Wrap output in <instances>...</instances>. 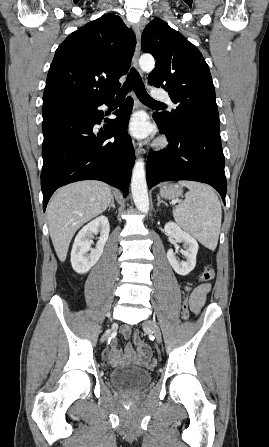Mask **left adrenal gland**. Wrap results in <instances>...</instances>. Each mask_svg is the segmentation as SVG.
Returning a JSON list of instances; mask_svg holds the SVG:
<instances>
[{"instance_id":"1","label":"left adrenal gland","mask_w":269,"mask_h":447,"mask_svg":"<svg viewBox=\"0 0 269 447\" xmlns=\"http://www.w3.org/2000/svg\"><path fill=\"white\" fill-rule=\"evenodd\" d=\"M157 200H158L157 206H160V204H165V206H167L166 202H163V200H160L159 194H157Z\"/></svg>"}]
</instances>
